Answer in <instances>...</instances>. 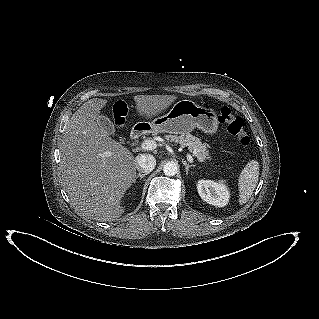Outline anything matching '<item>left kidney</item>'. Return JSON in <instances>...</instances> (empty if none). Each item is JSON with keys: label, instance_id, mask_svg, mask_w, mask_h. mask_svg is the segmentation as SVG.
<instances>
[{"label": "left kidney", "instance_id": "left-kidney-1", "mask_svg": "<svg viewBox=\"0 0 319 319\" xmlns=\"http://www.w3.org/2000/svg\"><path fill=\"white\" fill-rule=\"evenodd\" d=\"M197 190L200 197L211 205L224 207L228 203L229 193L223 181L200 180Z\"/></svg>", "mask_w": 319, "mask_h": 319}]
</instances>
